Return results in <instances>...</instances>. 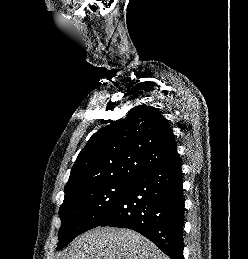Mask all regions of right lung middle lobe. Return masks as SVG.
Returning <instances> with one entry per match:
<instances>
[{
	"mask_svg": "<svg viewBox=\"0 0 248 259\" xmlns=\"http://www.w3.org/2000/svg\"><path fill=\"white\" fill-rule=\"evenodd\" d=\"M132 181H106L65 192L59 209L61 228L56 250L65 247L81 233L97 227L119 203Z\"/></svg>",
	"mask_w": 248,
	"mask_h": 259,
	"instance_id": "obj_1",
	"label": "right lung middle lobe"
}]
</instances>
